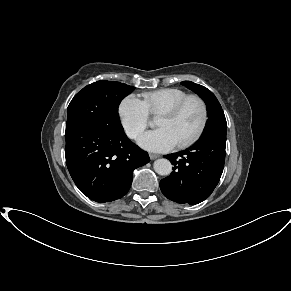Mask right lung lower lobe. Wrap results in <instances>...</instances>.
<instances>
[{"label":"right lung lower lobe","instance_id":"1","mask_svg":"<svg viewBox=\"0 0 291 291\" xmlns=\"http://www.w3.org/2000/svg\"><path fill=\"white\" fill-rule=\"evenodd\" d=\"M65 157L80 191L96 202H111L129 190L134 169L150 161L148 153L131 142L121 125L98 129L66 124Z\"/></svg>","mask_w":291,"mask_h":291}]
</instances>
